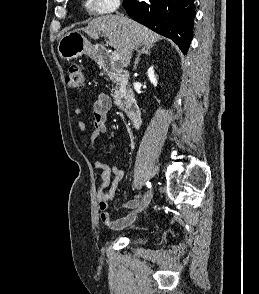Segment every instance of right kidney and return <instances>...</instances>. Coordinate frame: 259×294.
I'll use <instances>...</instances> for the list:
<instances>
[{
    "label": "right kidney",
    "instance_id": "ca27d5eb",
    "mask_svg": "<svg viewBox=\"0 0 259 294\" xmlns=\"http://www.w3.org/2000/svg\"><path fill=\"white\" fill-rule=\"evenodd\" d=\"M148 77H149V80L150 82L156 86L157 84V80H156V77L154 75V70H153V67H150L149 70H148Z\"/></svg>",
    "mask_w": 259,
    "mask_h": 294
}]
</instances>
